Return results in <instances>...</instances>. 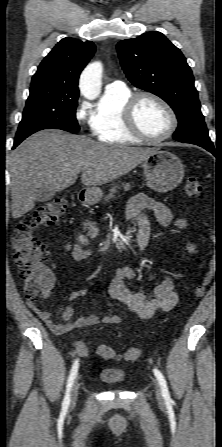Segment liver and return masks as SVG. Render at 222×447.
I'll use <instances>...</instances> for the list:
<instances>
[{
    "label": "liver",
    "mask_w": 222,
    "mask_h": 447,
    "mask_svg": "<svg viewBox=\"0 0 222 447\" xmlns=\"http://www.w3.org/2000/svg\"><path fill=\"white\" fill-rule=\"evenodd\" d=\"M154 150L108 145L55 129L39 131L10 157L12 216L31 211L43 185L62 191L76 182L79 172L82 184L103 185L130 172Z\"/></svg>",
    "instance_id": "1"
}]
</instances>
